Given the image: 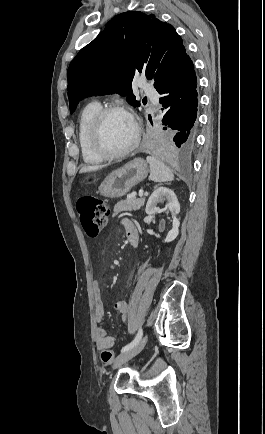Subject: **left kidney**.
<instances>
[{"mask_svg": "<svg viewBox=\"0 0 265 434\" xmlns=\"http://www.w3.org/2000/svg\"><path fill=\"white\" fill-rule=\"evenodd\" d=\"M159 202H167V212L166 214H169L171 212L173 216V228L168 232L167 238L165 242H173L175 238H177L179 234V226L180 222L177 220L176 216L180 212V204L173 192V190H169V188H156L154 190L153 194H151L147 206H146V214H156V212H159L158 208H156V204H159Z\"/></svg>", "mask_w": 265, "mask_h": 434, "instance_id": "obj_1", "label": "left kidney"}]
</instances>
